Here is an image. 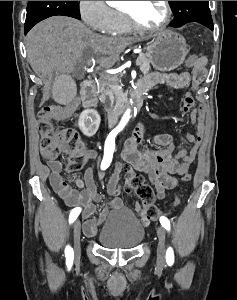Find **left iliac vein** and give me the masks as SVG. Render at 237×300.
I'll return each instance as SVG.
<instances>
[{"label": "left iliac vein", "instance_id": "1", "mask_svg": "<svg viewBox=\"0 0 237 300\" xmlns=\"http://www.w3.org/2000/svg\"><path fill=\"white\" fill-rule=\"evenodd\" d=\"M157 236L159 240L158 249H157V264L161 267H164L166 234H165V230L162 227H158Z\"/></svg>", "mask_w": 237, "mask_h": 300}]
</instances>
